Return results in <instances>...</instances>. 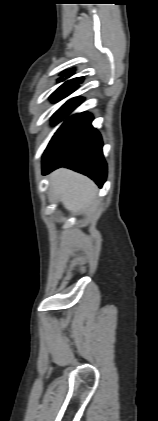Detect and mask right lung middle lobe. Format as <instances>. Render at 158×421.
Segmentation results:
<instances>
[{"label":"right lung middle lobe","instance_id":"right-lung-middle-lobe-1","mask_svg":"<svg viewBox=\"0 0 158 421\" xmlns=\"http://www.w3.org/2000/svg\"><path fill=\"white\" fill-rule=\"evenodd\" d=\"M76 86H60L56 91H54L52 93V95L50 96V99L53 102L59 101L61 99H63L64 97L68 96L69 94H71L73 91L76 90ZM69 102V101H68ZM66 102L59 110H57L55 112V114L52 117V123L55 124L60 116V113L63 109V107L68 103Z\"/></svg>","mask_w":158,"mask_h":421}]
</instances>
